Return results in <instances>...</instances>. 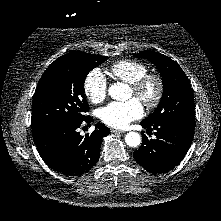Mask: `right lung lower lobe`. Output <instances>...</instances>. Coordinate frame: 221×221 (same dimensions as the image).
Here are the masks:
<instances>
[{
  "label": "right lung lower lobe",
  "instance_id": "obj_1",
  "mask_svg": "<svg viewBox=\"0 0 221 221\" xmlns=\"http://www.w3.org/2000/svg\"><path fill=\"white\" fill-rule=\"evenodd\" d=\"M92 120L86 116L82 120L59 123L33 136L40 156L51 169L64 175L79 176L97 163L102 138L110 130L98 123L91 134L81 136L78 128Z\"/></svg>",
  "mask_w": 221,
  "mask_h": 221
}]
</instances>
